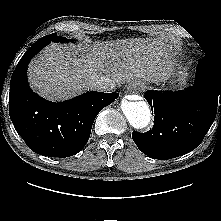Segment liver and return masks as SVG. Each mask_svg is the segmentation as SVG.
<instances>
[{"label":"liver","instance_id":"1","mask_svg":"<svg viewBox=\"0 0 221 221\" xmlns=\"http://www.w3.org/2000/svg\"><path fill=\"white\" fill-rule=\"evenodd\" d=\"M170 48L162 39L98 41L77 58L70 48L53 43L29 64L28 81L40 96L52 101L81 94L102 76L115 85L133 79L158 83L172 72Z\"/></svg>","mask_w":221,"mask_h":221}]
</instances>
